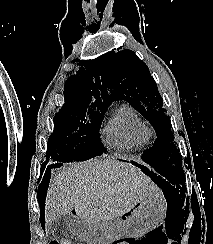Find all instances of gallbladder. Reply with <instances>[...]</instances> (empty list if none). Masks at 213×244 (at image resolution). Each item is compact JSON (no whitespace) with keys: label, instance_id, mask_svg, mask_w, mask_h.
I'll use <instances>...</instances> for the list:
<instances>
[{"label":"gallbladder","instance_id":"bac80fb5","mask_svg":"<svg viewBox=\"0 0 213 244\" xmlns=\"http://www.w3.org/2000/svg\"><path fill=\"white\" fill-rule=\"evenodd\" d=\"M57 226H58V223H57V222H55V221L50 222V223L48 224V230H49L50 232H54V231L56 230Z\"/></svg>","mask_w":213,"mask_h":244}]
</instances>
